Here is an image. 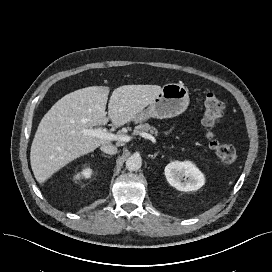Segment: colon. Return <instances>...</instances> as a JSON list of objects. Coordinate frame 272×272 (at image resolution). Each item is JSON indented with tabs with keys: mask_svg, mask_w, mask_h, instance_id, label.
<instances>
[{
	"mask_svg": "<svg viewBox=\"0 0 272 272\" xmlns=\"http://www.w3.org/2000/svg\"><path fill=\"white\" fill-rule=\"evenodd\" d=\"M203 109L202 124L206 128L209 147L221 161L225 163L236 161L238 154L235 148L219 138L215 131L225 109L224 103L217 95L209 92L205 96Z\"/></svg>",
	"mask_w": 272,
	"mask_h": 272,
	"instance_id": "obj_1",
	"label": "colon"
}]
</instances>
